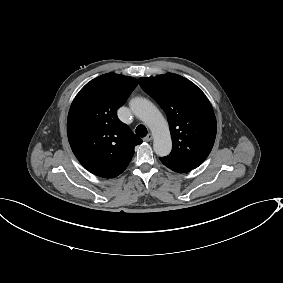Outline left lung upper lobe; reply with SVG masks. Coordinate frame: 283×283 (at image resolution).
Returning <instances> with one entry per match:
<instances>
[{"mask_svg":"<svg viewBox=\"0 0 283 283\" xmlns=\"http://www.w3.org/2000/svg\"><path fill=\"white\" fill-rule=\"evenodd\" d=\"M144 91L167 114L172 151L166 160L197 168L207 158L216 137V118L205 94L186 78L167 73L139 79Z\"/></svg>","mask_w":283,"mask_h":283,"instance_id":"5c2ea615","label":"left lung upper lobe"}]
</instances>
